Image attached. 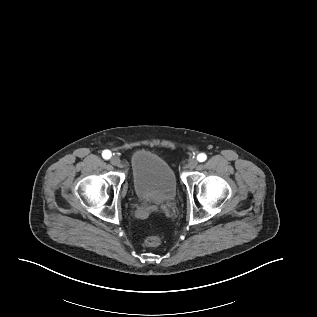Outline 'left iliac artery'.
<instances>
[{
	"instance_id": "44dca946",
	"label": "left iliac artery",
	"mask_w": 317,
	"mask_h": 317,
	"mask_svg": "<svg viewBox=\"0 0 317 317\" xmlns=\"http://www.w3.org/2000/svg\"><path fill=\"white\" fill-rule=\"evenodd\" d=\"M206 159H207V156H206V154H204V153H200V154L197 156V160H198L199 162H204Z\"/></svg>"
}]
</instances>
